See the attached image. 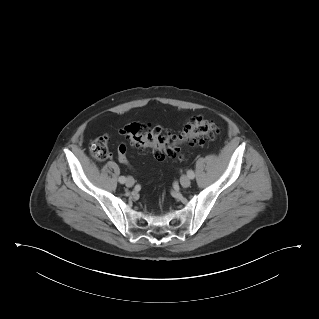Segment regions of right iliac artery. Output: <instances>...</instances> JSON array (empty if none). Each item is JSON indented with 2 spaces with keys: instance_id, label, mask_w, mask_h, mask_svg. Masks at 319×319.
<instances>
[{
  "instance_id": "1",
  "label": "right iliac artery",
  "mask_w": 319,
  "mask_h": 319,
  "mask_svg": "<svg viewBox=\"0 0 319 319\" xmlns=\"http://www.w3.org/2000/svg\"><path fill=\"white\" fill-rule=\"evenodd\" d=\"M119 182L124 184L126 182V178L124 176L119 177Z\"/></svg>"
}]
</instances>
